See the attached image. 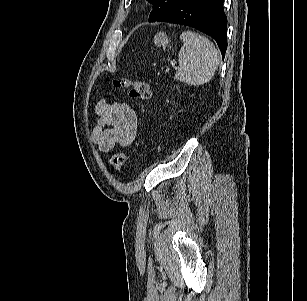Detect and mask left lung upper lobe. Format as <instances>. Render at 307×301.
I'll use <instances>...</instances> for the list:
<instances>
[{
	"label": "left lung upper lobe",
	"instance_id": "left-lung-upper-lobe-1",
	"mask_svg": "<svg viewBox=\"0 0 307 301\" xmlns=\"http://www.w3.org/2000/svg\"><path fill=\"white\" fill-rule=\"evenodd\" d=\"M153 4L149 22H155L167 14L179 0H148Z\"/></svg>",
	"mask_w": 307,
	"mask_h": 301
}]
</instances>
